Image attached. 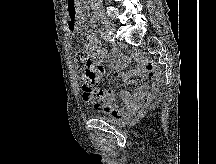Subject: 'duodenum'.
Here are the masks:
<instances>
[{"instance_id":"410a0bca","label":"duodenum","mask_w":216,"mask_h":164,"mask_svg":"<svg viewBox=\"0 0 216 164\" xmlns=\"http://www.w3.org/2000/svg\"><path fill=\"white\" fill-rule=\"evenodd\" d=\"M76 3H77L76 0H68V4H69L68 9H76ZM89 9H90L92 18L94 19L96 16L97 7H96V4H94L93 0L89 4Z\"/></svg>"}]
</instances>
